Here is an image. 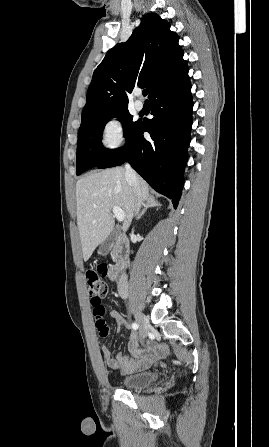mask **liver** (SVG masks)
I'll return each instance as SVG.
<instances>
[{
  "instance_id": "6515ba94",
  "label": "liver",
  "mask_w": 269,
  "mask_h": 447,
  "mask_svg": "<svg viewBox=\"0 0 269 447\" xmlns=\"http://www.w3.org/2000/svg\"><path fill=\"white\" fill-rule=\"evenodd\" d=\"M142 200H148L149 186L138 178ZM133 184L127 182L124 168L95 170L76 184L77 225L79 227L83 259L87 261L95 247L105 241L114 227V206L124 212L122 229L127 231L134 216Z\"/></svg>"
}]
</instances>
